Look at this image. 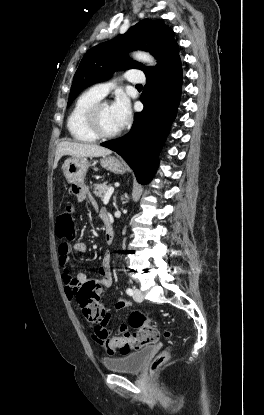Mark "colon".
Wrapping results in <instances>:
<instances>
[{
    "instance_id": "1",
    "label": "colon",
    "mask_w": 264,
    "mask_h": 415,
    "mask_svg": "<svg viewBox=\"0 0 264 415\" xmlns=\"http://www.w3.org/2000/svg\"><path fill=\"white\" fill-rule=\"evenodd\" d=\"M55 233L59 240L71 242L75 237V224L73 211L67 207L61 211L57 217ZM99 288L95 281H88L81 285L77 302L81 314L87 321L89 327L102 338L103 345L108 353L113 354L116 350L121 353L137 351L145 345L156 343L159 339V332L145 321V315L141 312L134 313L130 318V324L136 329L135 332H124L120 336L109 337L105 328L107 314L99 303ZM166 337H170V332H166ZM170 348L161 352L151 363L150 370L155 372L159 367L168 361Z\"/></svg>"
}]
</instances>
